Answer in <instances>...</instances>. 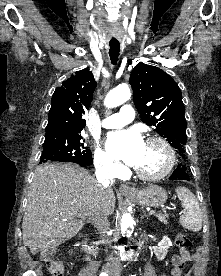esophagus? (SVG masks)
Returning a JSON list of instances; mask_svg holds the SVG:
<instances>
[{"instance_id":"34e87169","label":"esophagus","mask_w":221,"mask_h":276,"mask_svg":"<svg viewBox=\"0 0 221 276\" xmlns=\"http://www.w3.org/2000/svg\"><path fill=\"white\" fill-rule=\"evenodd\" d=\"M119 191L121 193H125V194H131L135 192V189L132 188L131 186L127 185V184H121L119 186Z\"/></svg>"}]
</instances>
